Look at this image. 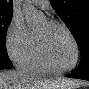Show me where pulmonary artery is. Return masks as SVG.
<instances>
[{"mask_svg":"<svg viewBox=\"0 0 89 89\" xmlns=\"http://www.w3.org/2000/svg\"><path fill=\"white\" fill-rule=\"evenodd\" d=\"M35 4L37 5H43V4H47L48 1L47 0H35L33 1Z\"/></svg>","mask_w":89,"mask_h":89,"instance_id":"pulmonary-artery-1","label":"pulmonary artery"}]
</instances>
